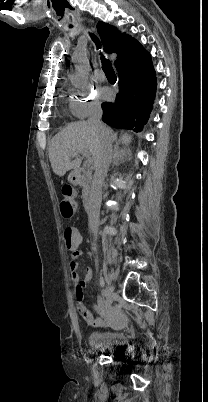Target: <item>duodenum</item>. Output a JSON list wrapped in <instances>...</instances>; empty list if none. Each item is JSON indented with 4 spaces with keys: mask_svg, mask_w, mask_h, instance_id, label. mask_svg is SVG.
Masks as SVG:
<instances>
[{
    "mask_svg": "<svg viewBox=\"0 0 208 402\" xmlns=\"http://www.w3.org/2000/svg\"><path fill=\"white\" fill-rule=\"evenodd\" d=\"M76 178H77V180H78V182L80 184H85L86 183L87 177H86V174L84 172L77 171L76 172ZM91 204H92L91 194H90V191L88 189H86L85 192H84V195H83L84 208L86 210H90Z\"/></svg>",
    "mask_w": 208,
    "mask_h": 402,
    "instance_id": "1",
    "label": "duodenum"
}]
</instances>
